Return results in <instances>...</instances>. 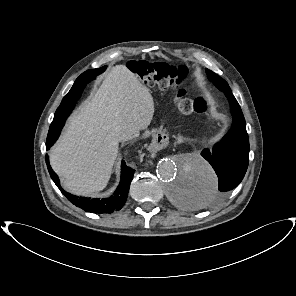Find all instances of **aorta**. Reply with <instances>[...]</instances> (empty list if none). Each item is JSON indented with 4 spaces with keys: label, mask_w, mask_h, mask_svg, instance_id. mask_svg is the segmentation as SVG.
Returning <instances> with one entry per match:
<instances>
[{
    "label": "aorta",
    "mask_w": 296,
    "mask_h": 296,
    "mask_svg": "<svg viewBox=\"0 0 296 296\" xmlns=\"http://www.w3.org/2000/svg\"><path fill=\"white\" fill-rule=\"evenodd\" d=\"M157 175L166 183L169 197L184 207L200 209L215 198L218 178L213 168L200 156L187 154L177 161L163 159Z\"/></svg>",
    "instance_id": "1"
}]
</instances>
